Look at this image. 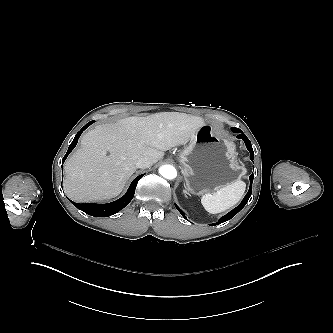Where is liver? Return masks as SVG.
I'll return each instance as SVG.
<instances>
[{
    "instance_id": "obj_1",
    "label": "liver",
    "mask_w": 333,
    "mask_h": 333,
    "mask_svg": "<svg viewBox=\"0 0 333 333\" xmlns=\"http://www.w3.org/2000/svg\"><path fill=\"white\" fill-rule=\"evenodd\" d=\"M203 125L201 117L179 112L97 125L82 136L81 148L64 164L66 195L76 202L118 196L139 158L158 162L164 151L186 144Z\"/></svg>"
}]
</instances>
